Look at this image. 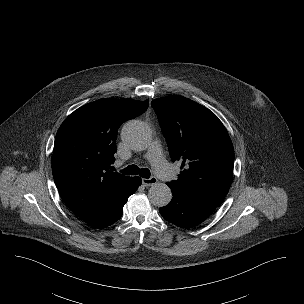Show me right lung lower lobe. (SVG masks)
I'll return each mask as SVG.
<instances>
[{"instance_id":"obj_1","label":"right lung lower lobe","mask_w":304,"mask_h":304,"mask_svg":"<svg viewBox=\"0 0 304 304\" xmlns=\"http://www.w3.org/2000/svg\"><path fill=\"white\" fill-rule=\"evenodd\" d=\"M141 185L140 177L130 178L125 182L94 215L84 221L95 228H104L115 223L123 213V206L128 197Z\"/></svg>"}]
</instances>
